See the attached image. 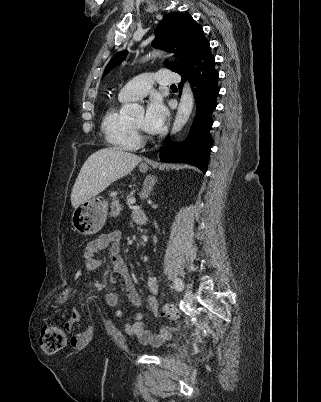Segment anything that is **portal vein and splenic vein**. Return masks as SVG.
<instances>
[{
	"mask_svg": "<svg viewBox=\"0 0 321 402\" xmlns=\"http://www.w3.org/2000/svg\"><path fill=\"white\" fill-rule=\"evenodd\" d=\"M135 202H136V200H135L134 197H130V198L127 199V204H128V205L134 204Z\"/></svg>",
	"mask_w": 321,
	"mask_h": 402,
	"instance_id": "1",
	"label": "portal vein and splenic vein"
}]
</instances>
